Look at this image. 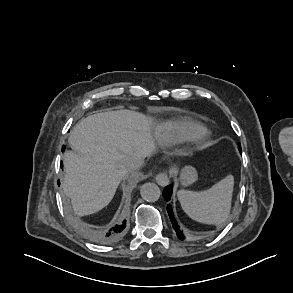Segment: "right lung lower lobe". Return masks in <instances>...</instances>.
<instances>
[{
  "label": "right lung lower lobe",
  "instance_id": "1",
  "mask_svg": "<svg viewBox=\"0 0 293 293\" xmlns=\"http://www.w3.org/2000/svg\"><path fill=\"white\" fill-rule=\"evenodd\" d=\"M64 150H65V147L63 146L62 151ZM125 228H126V221L124 220L121 223L112 227L108 232L98 234L96 239L99 242L105 243V244L114 243L123 236V234L125 233Z\"/></svg>",
  "mask_w": 293,
  "mask_h": 293
}]
</instances>
